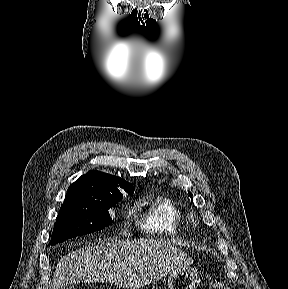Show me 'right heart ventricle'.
<instances>
[{
  "mask_svg": "<svg viewBox=\"0 0 288 289\" xmlns=\"http://www.w3.org/2000/svg\"><path fill=\"white\" fill-rule=\"evenodd\" d=\"M190 217L185 209L169 197L152 201L143 222V227L155 234L175 235L188 223Z\"/></svg>",
  "mask_w": 288,
  "mask_h": 289,
  "instance_id": "e07e8e85",
  "label": "right heart ventricle"
}]
</instances>
